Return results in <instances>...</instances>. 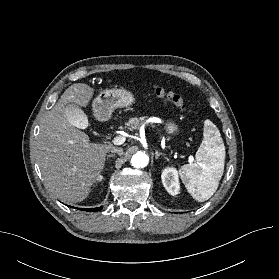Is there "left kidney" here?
Returning <instances> with one entry per match:
<instances>
[{"label": "left kidney", "mask_w": 279, "mask_h": 279, "mask_svg": "<svg viewBox=\"0 0 279 279\" xmlns=\"http://www.w3.org/2000/svg\"><path fill=\"white\" fill-rule=\"evenodd\" d=\"M163 186L172 196L180 193V183L178 171L173 167H168L161 174Z\"/></svg>", "instance_id": "obj_1"}]
</instances>
